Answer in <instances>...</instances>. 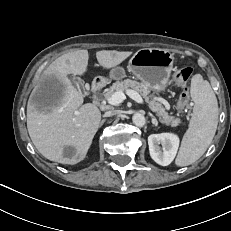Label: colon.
Here are the masks:
<instances>
[{
    "label": "colon",
    "mask_w": 231,
    "mask_h": 231,
    "mask_svg": "<svg viewBox=\"0 0 231 231\" xmlns=\"http://www.w3.org/2000/svg\"><path fill=\"white\" fill-rule=\"evenodd\" d=\"M191 75L192 69L188 67L178 70L174 75L175 82L183 87V90L178 99V107L181 110L185 109L190 101L189 90L186 86V83L190 79Z\"/></svg>",
    "instance_id": "obj_1"
}]
</instances>
